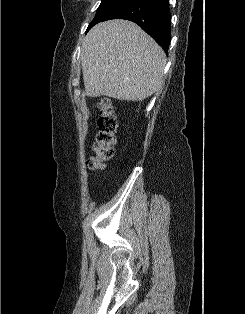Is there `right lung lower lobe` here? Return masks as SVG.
Masks as SVG:
<instances>
[{
  "mask_svg": "<svg viewBox=\"0 0 245 314\" xmlns=\"http://www.w3.org/2000/svg\"><path fill=\"white\" fill-rule=\"evenodd\" d=\"M110 19H126L135 22L165 51H168L171 39L169 0H127L102 21Z\"/></svg>",
  "mask_w": 245,
  "mask_h": 314,
  "instance_id": "right-lung-lower-lobe-1",
  "label": "right lung lower lobe"
}]
</instances>
